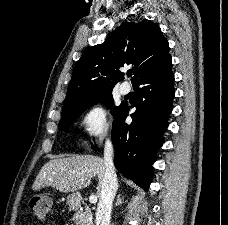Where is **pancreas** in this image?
<instances>
[{
	"mask_svg": "<svg viewBox=\"0 0 228 225\" xmlns=\"http://www.w3.org/2000/svg\"><path fill=\"white\" fill-rule=\"evenodd\" d=\"M76 213L73 215L75 225H93V217L91 211H79L75 209Z\"/></svg>",
	"mask_w": 228,
	"mask_h": 225,
	"instance_id": "pancreas-1",
	"label": "pancreas"
}]
</instances>
